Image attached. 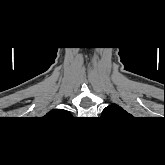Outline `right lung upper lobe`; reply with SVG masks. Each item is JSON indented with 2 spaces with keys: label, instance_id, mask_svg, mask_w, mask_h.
<instances>
[{
  "label": "right lung upper lobe",
  "instance_id": "cb5924a9",
  "mask_svg": "<svg viewBox=\"0 0 165 165\" xmlns=\"http://www.w3.org/2000/svg\"><path fill=\"white\" fill-rule=\"evenodd\" d=\"M68 116L70 115L69 112L67 110H63V109H53L50 112H48L46 114V118H57V117H61V116Z\"/></svg>",
  "mask_w": 165,
  "mask_h": 165
}]
</instances>
